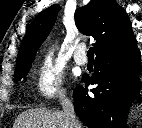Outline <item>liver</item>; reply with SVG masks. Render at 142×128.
Masks as SVG:
<instances>
[{
    "label": "liver",
    "instance_id": "obj_1",
    "mask_svg": "<svg viewBox=\"0 0 142 128\" xmlns=\"http://www.w3.org/2000/svg\"><path fill=\"white\" fill-rule=\"evenodd\" d=\"M80 128L82 124L78 121ZM69 121L63 111L29 109L22 112L13 128H69Z\"/></svg>",
    "mask_w": 142,
    "mask_h": 128
}]
</instances>
